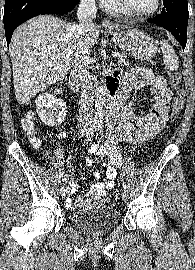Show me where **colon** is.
Masks as SVG:
<instances>
[{"instance_id":"obj_1","label":"colon","mask_w":195,"mask_h":270,"mask_svg":"<svg viewBox=\"0 0 195 270\" xmlns=\"http://www.w3.org/2000/svg\"><path fill=\"white\" fill-rule=\"evenodd\" d=\"M168 76H169V84L171 88L176 92L175 101H174L172 111L170 114L171 122H175L178 120L182 112L183 105H184V96L180 88L182 78H181V74L178 71H170ZM22 125H23L24 130L31 137L32 141L34 143H37L38 140L35 137L34 124H33L31 116H27L22 121ZM113 197L115 199H118L120 197V192L118 190H115L113 192Z\"/></svg>"}]
</instances>
